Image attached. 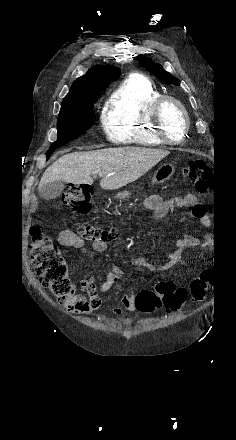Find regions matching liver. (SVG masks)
I'll return each mask as SVG.
<instances>
[{
    "label": "liver",
    "instance_id": "liver-1",
    "mask_svg": "<svg viewBox=\"0 0 236 440\" xmlns=\"http://www.w3.org/2000/svg\"><path fill=\"white\" fill-rule=\"evenodd\" d=\"M168 154V151L142 147L68 153L46 169L38 190L54 181L92 184L91 175H99L102 178V189L115 190L139 179Z\"/></svg>",
    "mask_w": 236,
    "mask_h": 440
}]
</instances>
